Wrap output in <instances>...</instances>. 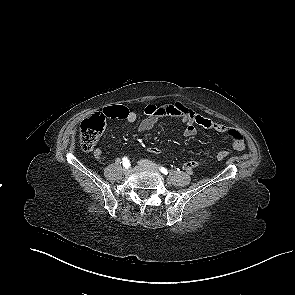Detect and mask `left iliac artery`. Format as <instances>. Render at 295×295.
Instances as JSON below:
<instances>
[{"label": "left iliac artery", "mask_w": 295, "mask_h": 295, "mask_svg": "<svg viewBox=\"0 0 295 295\" xmlns=\"http://www.w3.org/2000/svg\"><path fill=\"white\" fill-rule=\"evenodd\" d=\"M159 170L164 174L167 175L168 174V170L165 167H159Z\"/></svg>", "instance_id": "44dca946"}]
</instances>
